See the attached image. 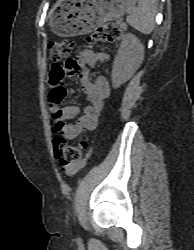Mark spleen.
Returning a JSON list of instances; mask_svg holds the SVG:
<instances>
[{
  "instance_id": "spleen-1",
  "label": "spleen",
  "mask_w": 194,
  "mask_h": 250,
  "mask_svg": "<svg viewBox=\"0 0 194 250\" xmlns=\"http://www.w3.org/2000/svg\"><path fill=\"white\" fill-rule=\"evenodd\" d=\"M136 7L126 21L134 29L143 34H149L154 28V17L157 9V0H137Z\"/></svg>"
}]
</instances>
